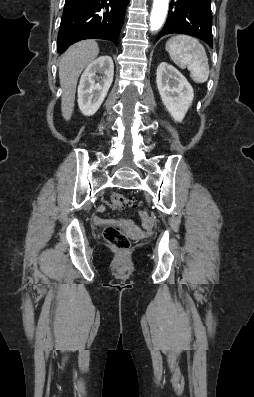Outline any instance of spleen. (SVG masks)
<instances>
[{
  "label": "spleen",
  "instance_id": "1",
  "mask_svg": "<svg viewBox=\"0 0 254 397\" xmlns=\"http://www.w3.org/2000/svg\"><path fill=\"white\" fill-rule=\"evenodd\" d=\"M166 51L180 68H188L190 77L196 83H205L209 77L206 51L201 43L188 35H176L166 43Z\"/></svg>",
  "mask_w": 254,
  "mask_h": 397
}]
</instances>
